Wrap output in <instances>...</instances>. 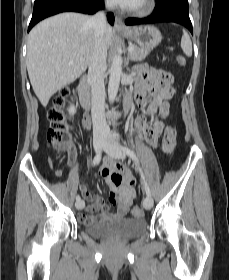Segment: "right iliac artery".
I'll return each instance as SVG.
<instances>
[{"label":"right iliac artery","mask_w":229,"mask_h":280,"mask_svg":"<svg viewBox=\"0 0 229 280\" xmlns=\"http://www.w3.org/2000/svg\"><path fill=\"white\" fill-rule=\"evenodd\" d=\"M101 153H98L95 157H94V159H93V163H92V165L93 166H96V165H98L99 163H100V161H101ZM81 198H80V196L79 195H77L76 196V201H79Z\"/></svg>","instance_id":"1"}]
</instances>
